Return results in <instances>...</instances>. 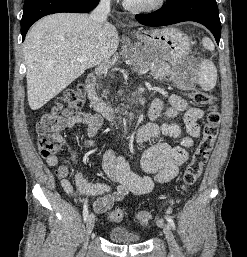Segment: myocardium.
<instances>
[{
	"label": "myocardium",
	"instance_id": "f54148a6",
	"mask_svg": "<svg viewBox=\"0 0 247 257\" xmlns=\"http://www.w3.org/2000/svg\"><path fill=\"white\" fill-rule=\"evenodd\" d=\"M166 3V0H153L147 3H134L131 1H124V6L136 13H153L160 10Z\"/></svg>",
	"mask_w": 247,
	"mask_h": 257
}]
</instances>
